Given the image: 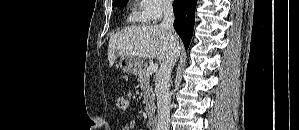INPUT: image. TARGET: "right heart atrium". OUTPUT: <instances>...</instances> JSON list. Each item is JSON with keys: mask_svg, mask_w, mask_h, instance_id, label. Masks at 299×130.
Returning <instances> with one entry per match:
<instances>
[{"mask_svg": "<svg viewBox=\"0 0 299 130\" xmlns=\"http://www.w3.org/2000/svg\"><path fill=\"white\" fill-rule=\"evenodd\" d=\"M172 2L169 0H143V17L146 22H156L171 9Z\"/></svg>", "mask_w": 299, "mask_h": 130, "instance_id": "obj_1", "label": "right heart atrium"}]
</instances>
